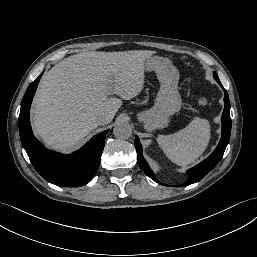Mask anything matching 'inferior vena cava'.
<instances>
[{
    "mask_svg": "<svg viewBox=\"0 0 257 257\" xmlns=\"http://www.w3.org/2000/svg\"><path fill=\"white\" fill-rule=\"evenodd\" d=\"M111 119V116L109 114H103V115H99L96 118V122L98 125H104L107 124Z\"/></svg>",
    "mask_w": 257,
    "mask_h": 257,
    "instance_id": "inferior-vena-cava-1",
    "label": "inferior vena cava"
}]
</instances>
